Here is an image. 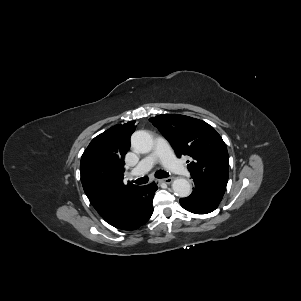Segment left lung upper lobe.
Returning a JSON list of instances; mask_svg holds the SVG:
<instances>
[{
	"instance_id": "5c2ea615",
	"label": "left lung upper lobe",
	"mask_w": 301,
	"mask_h": 301,
	"mask_svg": "<svg viewBox=\"0 0 301 301\" xmlns=\"http://www.w3.org/2000/svg\"><path fill=\"white\" fill-rule=\"evenodd\" d=\"M159 129L180 158L187 161L193 179L226 189L228 152L215 129L202 120L179 114H162L149 119Z\"/></svg>"
}]
</instances>
